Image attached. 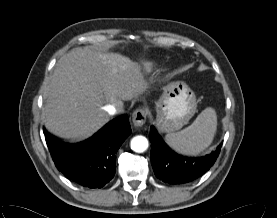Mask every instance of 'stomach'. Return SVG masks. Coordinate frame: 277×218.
I'll return each instance as SVG.
<instances>
[{
	"mask_svg": "<svg viewBox=\"0 0 277 218\" xmlns=\"http://www.w3.org/2000/svg\"><path fill=\"white\" fill-rule=\"evenodd\" d=\"M196 109V96L186 83H169L156 102V126L161 132L177 131L188 124Z\"/></svg>",
	"mask_w": 277,
	"mask_h": 218,
	"instance_id": "obj_1",
	"label": "stomach"
}]
</instances>
